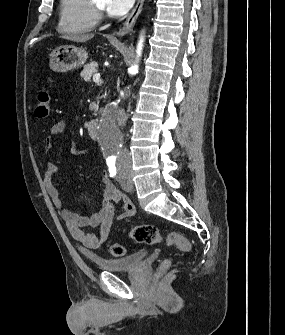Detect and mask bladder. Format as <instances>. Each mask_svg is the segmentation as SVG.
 Returning a JSON list of instances; mask_svg holds the SVG:
<instances>
[{"label":"bladder","instance_id":"31cf9c89","mask_svg":"<svg viewBox=\"0 0 285 335\" xmlns=\"http://www.w3.org/2000/svg\"><path fill=\"white\" fill-rule=\"evenodd\" d=\"M147 252L138 250L124 257L92 258V265H98L105 272L132 273L145 263Z\"/></svg>","mask_w":285,"mask_h":335}]
</instances>
